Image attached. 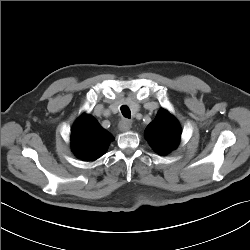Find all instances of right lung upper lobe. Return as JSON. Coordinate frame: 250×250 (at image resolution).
<instances>
[{"label": "right lung upper lobe", "instance_id": "1", "mask_svg": "<svg viewBox=\"0 0 250 250\" xmlns=\"http://www.w3.org/2000/svg\"><path fill=\"white\" fill-rule=\"evenodd\" d=\"M113 139V136L88 114L78 118L71 132L73 152L86 161L96 160L103 155Z\"/></svg>", "mask_w": 250, "mask_h": 250}]
</instances>
